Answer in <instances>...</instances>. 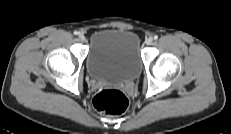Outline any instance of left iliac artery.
<instances>
[{"mask_svg":"<svg viewBox=\"0 0 231 134\" xmlns=\"http://www.w3.org/2000/svg\"><path fill=\"white\" fill-rule=\"evenodd\" d=\"M154 39H155V40H157V39H158V36H157V35H155V36H154Z\"/></svg>","mask_w":231,"mask_h":134,"instance_id":"1","label":"left iliac artery"}]
</instances>
